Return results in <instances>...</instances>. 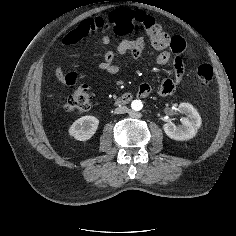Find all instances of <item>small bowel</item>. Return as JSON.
<instances>
[{"label": "small bowel", "mask_w": 236, "mask_h": 236, "mask_svg": "<svg viewBox=\"0 0 236 236\" xmlns=\"http://www.w3.org/2000/svg\"><path fill=\"white\" fill-rule=\"evenodd\" d=\"M161 27L152 19L146 29L147 36L151 45L156 50L160 51L155 57V63L159 66H165L172 62L173 72L170 77L164 78L159 87V93L163 96L173 94L183 80L185 74V63L182 55L187 51V41L181 36L164 37L161 32ZM64 44H73L69 41L67 36L64 38ZM101 44L105 47L110 46L111 38L108 35L101 37ZM145 49L144 37L139 36L133 39L121 40L115 50H107L104 53L103 60L99 67L102 71L115 75L119 72V66L115 60L118 56L130 54L133 57H140ZM55 76L61 81L65 82V74L60 67H56ZM151 87L148 84H141L138 89V94L141 97H146L150 94Z\"/></svg>", "instance_id": "small-bowel-1"}]
</instances>
